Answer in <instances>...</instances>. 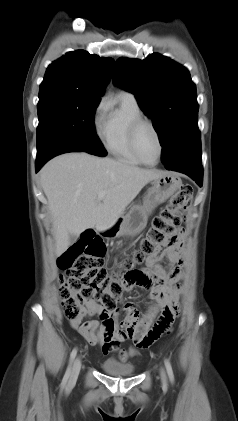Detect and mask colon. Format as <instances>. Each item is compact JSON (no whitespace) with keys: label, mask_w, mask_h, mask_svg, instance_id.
Returning a JSON list of instances; mask_svg holds the SVG:
<instances>
[{"label":"colon","mask_w":238,"mask_h":421,"mask_svg":"<svg viewBox=\"0 0 238 421\" xmlns=\"http://www.w3.org/2000/svg\"><path fill=\"white\" fill-rule=\"evenodd\" d=\"M192 194V187L183 185L172 196L169 204L153 219L139 250L125 261V267L130 268L135 263L153 257L160 248L170 243L175 233L183 231L182 224L186 220ZM104 255L105 246L102 240L92 232H87L80 241L59 256L58 266L64 272L59 295L67 319H77L83 313L84 304L91 301L103 308L101 320L110 325L113 323L110 312L116 309L122 292L129 289L131 283L128 272L109 273L105 269ZM170 330L171 324H167L150 333L142 344H150ZM134 353L133 349H123L120 350L119 357L126 360Z\"/></svg>","instance_id":"obj_1"}]
</instances>
